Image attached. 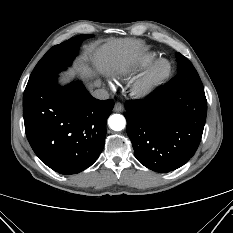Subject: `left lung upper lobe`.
<instances>
[{"instance_id": "left-lung-upper-lobe-1", "label": "left lung upper lobe", "mask_w": 233, "mask_h": 233, "mask_svg": "<svg viewBox=\"0 0 233 233\" xmlns=\"http://www.w3.org/2000/svg\"><path fill=\"white\" fill-rule=\"evenodd\" d=\"M176 58L178 62V73L166 84V87L168 89L204 94L202 82L193 65L180 53L176 54Z\"/></svg>"}]
</instances>
